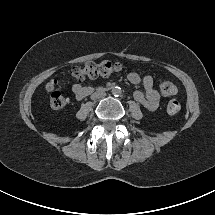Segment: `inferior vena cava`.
<instances>
[{
  "label": "inferior vena cava",
  "mask_w": 215,
  "mask_h": 215,
  "mask_svg": "<svg viewBox=\"0 0 215 215\" xmlns=\"http://www.w3.org/2000/svg\"><path fill=\"white\" fill-rule=\"evenodd\" d=\"M104 96H106V93L99 92L97 95H94L92 98L93 100H97V99L103 98Z\"/></svg>",
  "instance_id": "1"
}]
</instances>
